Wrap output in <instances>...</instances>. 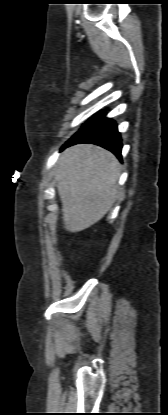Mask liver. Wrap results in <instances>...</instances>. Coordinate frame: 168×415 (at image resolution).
I'll return each instance as SVG.
<instances>
[{
    "mask_svg": "<svg viewBox=\"0 0 168 415\" xmlns=\"http://www.w3.org/2000/svg\"><path fill=\"white\" fill-rule=\"evenodd\" d=\"M120 172L117 158L99 146L75 145L62 153L56 181L67 231L85 230L104 217L115 202Z\"/></svg>",
    "mask_w": 168,
    "mask_h": 415,
    "instance_id": "obj_1",
    "label": "liver"
}]
</instances>
